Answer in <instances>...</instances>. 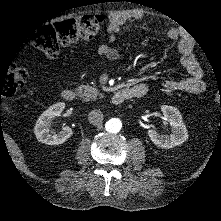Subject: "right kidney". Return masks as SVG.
<instances>
[{
  "label": "right kidney",
  "mask_w": 221,
  "mask_h": 221,
  "mask_svg": "<svg viewBox=\"0 0 221 221\" xmlns=\"http://www.w3.org/2000/svg\"><path fill=\"white\" fill-rule=\"evenodd\" d=\"M65 108L64 102H58L51 105L37 119L34 126V134L37 140L48 145H59L64 143L73 134L69 126H63L58 132L51 129L52 121L61 115Z\"/></svg>",
  "instance_id": "obj_1"
}]
</instances>
